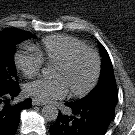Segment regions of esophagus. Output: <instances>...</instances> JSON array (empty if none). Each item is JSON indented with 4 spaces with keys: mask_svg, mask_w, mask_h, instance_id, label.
I'll return each mask as SVG.
<instances>
[{
    "mask_svg": "<svg viewBox=\"0 0 135 135\" xmlns=\"http://www.w3.org/2000/svg\"><path fill=\"white\" fill-rule=\"evenodd\" d=\"M32 105H34V106H42V105H45V103L38 100V99H36V98H33L32 99Z\"/></svg>",
    "mask_w": 135,
    "mask_h": 135,
    "instance_id": "34e87169",
    "label": "esophagus"
}]
</instances>
